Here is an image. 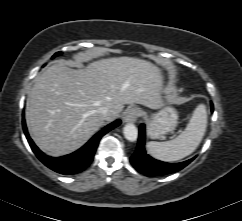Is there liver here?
Listing matches in <instances>:
<instances>
[{"instance_id": "obj_1", "label": "liver", "mask_w": 242, "mask_h": 221, "mask_svg": "<svg viewBox=\"0 0 242 221\" xmlns=\"http://www.w3.org/2000/svg\"><path fill=\"white\" fill-rule=\"evenodd\" d=\"M161 70L149 61L113 57L82 69L58 63L36 77L26 104V124L35 144L50 156L83 146L104 121H113L125 104L163 106ZM108 107L106 120L99 112Z\"/></svg>"}]
</instances>
